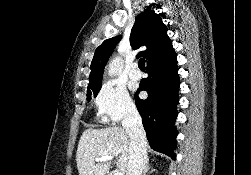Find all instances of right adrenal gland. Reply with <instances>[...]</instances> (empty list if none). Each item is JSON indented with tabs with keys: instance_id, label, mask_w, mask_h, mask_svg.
Here are the masks:
<instances>
[{
	"instance_id": "2a0ac1e0",
	"label": "right adrenal gland",
	"mask_w": 251,
	"mask_h": 175,
	"mask_svg": "<svg viewBox=\"0 0 251 175\" xmlns=\"http://www.w3.org/2000/svg\"><path fill=\"white\" fill-rule=\"evenodd\" d=\"M149 169H151L150 165H145L143 175H147V173H149ZM151 171H156V169H151Z\"/></svg>"
}]
</instances>
